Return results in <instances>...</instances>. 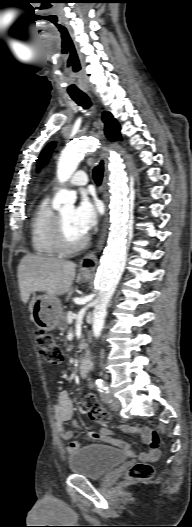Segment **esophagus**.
<instances>
[{
	"instance_id": "34e87169",
	"label": "esophagus",
	"mask_w": 192,
	"mask_h": 527,
	"mask_svg": "<svg viewBox=\"0 0 192 527\" xmlns=\"http://www.w3.org/2000/svg\"><path fill=\"white\" fill-rule=\"evenodd\" d=\"M98 131L101 136H103L104 133V123L99 118L98 120ZM103 160H104V172H103V180H102V193H103V199L105 203L107 204L108 199V192H107V182H108V175H109V164H108V158L106 153H103ZM107 234V215L104 218L103 228L99 237V240L96 243L95 249L88 252L86 255H84L80 262L79 267L82 272H92L95 270L98 258L97 254L101 251Z\"/></svg>"
}]
</instances>
